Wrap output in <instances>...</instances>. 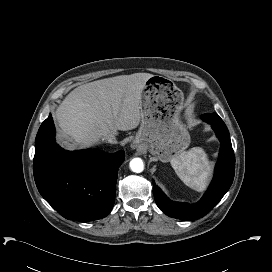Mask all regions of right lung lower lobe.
Masks as SVG:
<instances>
[{
  "mask_svg": "<svg viewBox=\"0 0 272 272\" xmlns=\"http://www.w3.org/2000/svg\"><path fill=\"white\" fill-rule=\"evenodd\" d=\"M124 151H67L55 142L51 114L35 140L33 173L43 198L63 217L82 222L106 217L115 201Z\"/></svg>",
  "mask_w": 272,
  "mask_h": 272,
  "instance_id": "obj_1",
  "label": "right lung lower lobe"
}]
</instances>
